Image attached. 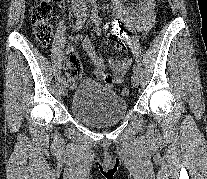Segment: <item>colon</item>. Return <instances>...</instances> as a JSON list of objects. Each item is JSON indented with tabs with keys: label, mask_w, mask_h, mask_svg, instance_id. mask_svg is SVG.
Masks as SVG:
<instances>
[{
	"label": "colon",
	"mask_w": 207,
	"mask_h": 179,
	"mask_svg": "<svg viewBox=\"0 0 207 179\" xmlns=\"http://www.w3.org/2000/svg\"><path fill=\"white\" fill-rule=\"evenodd\" d=\"M53 8L50 0H40L36 3L30 14V20L33 27L34 35L37 41L42 46H48L52 38V26L51 17ZM82 74V67L78 61L76 55L73 52H69L66 57L65 75L70 80L78 79ZM122 96L129 95L128 88H122L120 90Z\"/></svg>",
	"instance_id": "obj_1"
}]
</instances>
